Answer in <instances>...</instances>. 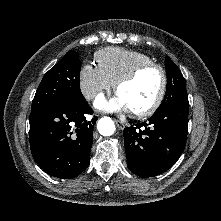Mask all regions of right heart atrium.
I'll return each instance as SVG.
<instances>
[{
    "label": "right heart atrium",
    "mask_w": 221,
    "mask_h": 221,
    "mask_svg": "<svg viewBox=\"0 0 221 221\" xmlns=\"http://www.w3.org/2000/svg\"><path fill=\"white\" fill-rule=\"evenodd\" d=\"M78 85L83 97L91 100L112 88L114 83L97 66L85 64L80 70Z\"/></svg>",
    "instance_id": "obj_1"
}]
</instances>
